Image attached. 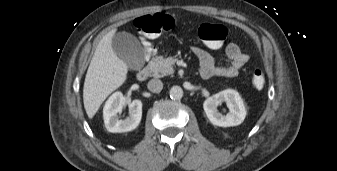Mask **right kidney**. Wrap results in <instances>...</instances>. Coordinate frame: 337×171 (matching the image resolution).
<instances>
[{
    "label": "right kidney",
    "mask_w": 337,
    "mask_h": 171,
    "mask_svg": "<svg viewBox=\"0 0 337 171\" xmlns=\"http://www.w3.org/2000/svg\"><path fill=\"white\" fill-rule=\"evenodd\" d=\"M125 105V98L121 92L113 93L106 101L103 108L105 127L109 132L122 133L134 130L140 123L142 117V102L138 99L130 104V115L124 120L119 115Z\"/></svg>",
    "instance_id": "ca27d5eb"
}]
</instances>
